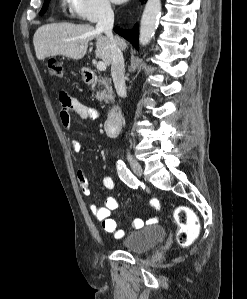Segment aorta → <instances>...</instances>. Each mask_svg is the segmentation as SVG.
I'll return each mask as SVG.
<instances>
[{"label": "aorta", "instance_id": "obj_1", "mask_svg": "<svg viewBox=\"0 0 247 299\" xmlns=\"http://www.w3.org/2000/svg\"><path fill=\"white\" fill-rule=\"evenodd\" d=\"M161 14V1L148 0L140 23L139 43L141 46H146L155 35L158 26L159 17Z\"/></svg>", "mask_w": 247, "mask_h": 299}]
</instances>
